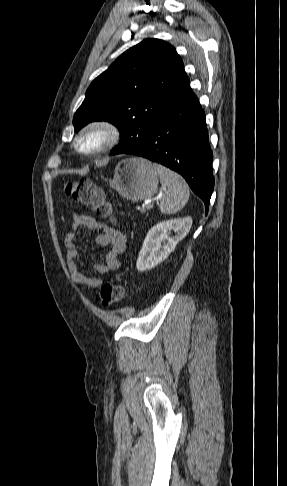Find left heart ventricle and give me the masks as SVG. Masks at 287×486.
<instances>
[{
  "mask_svg": "<svg viewBox=\"0 0 287 486\" xmlns=\"http://www.w3.org/2000/svg\"><path fill=\"white\" fill-rule=\"evenodd\" d=\"M101 136L99 134H92L82 140L81 146L86 149H91L98 146L101 143Z\"/></svg>",
  "mask_w": 287,
  "mask_h": 486,
  "instance_id": "1",
  "label": "left heart ventricle"
}]
</instances>
